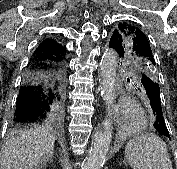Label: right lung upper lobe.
Returning <instances> with one entry per match:
<instances>
[{
  "instance_id": "cb5924a9",
  "label": "right lung upper lobe",
  "mask_w": 177,
  "mask_h": 169,
  "mask_svg": "<svg viewBox=\"0 0 177 169\" xmlns=\"http://www.w3.org/2000/svg\"><path fill=\"white\" fill-rule=\"evenodd\" d=\"M65 47L59 45L52 39L43 40L35 52L44 53L49 57L56 59H64Z\"/></svg>"
}]
</instances>
